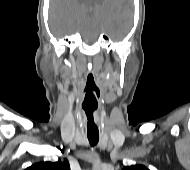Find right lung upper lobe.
Instances as JSON below:
<instances>
[{"mask_svg": "<svg viewBox=\"0 0 190 170\" xmlns=\"http://www.w3.org/2000/svg\"><path fill=\"white\" fill-rule=\"evenodd\" d=\"M26 170H70V165L67 159L57 162H40L33 164Z\"/></svg>", "mask_w": 190, "mask_h": 170, "instance_id": "obj_1", "label": "right lung upper lobe"}]
</instances>
